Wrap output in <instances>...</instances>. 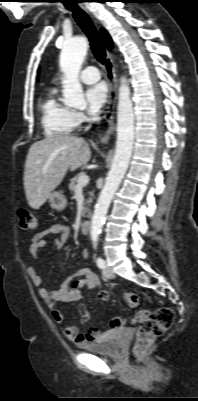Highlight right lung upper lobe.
I'll return each instance as SVG.
<instances>
[{"instance_id":"right-lung-upper-lobe-1","label":"right lung upper lobe","mask_w":198,"mask_h":401,"mask_svg":"<svg viewBox=\"0 0 198 401\" xmlns=\"http://www.w3.org/2000/svg\"><path fill=\"white\" fill-rule=\"evenodd\" d=\"M101 32H102V36L104 38V42H105L106 47L108 49H111L112 48V40H111L110 36L108 35V33L104 29H102Z\"/></svg>"}]
</instances>
